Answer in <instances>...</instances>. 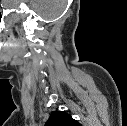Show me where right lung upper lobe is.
I'll use <instances>...</instances> for the list:
<instances>
[{"mask_svg":"<svg viewBox=\"0 0 127 126\" xmlns=\"http://www.w3.org/2000/svg\"><path fill=\"white\" fill-rule=\"evenodd\" d=\"M45 126H81V124L64 111H53Z\"/></svg>","mask_w":127,"mask_h":126,"instance_id":"right-lung-upper-lobe-1","label":"right lung upper lobe"}]
</instances>
